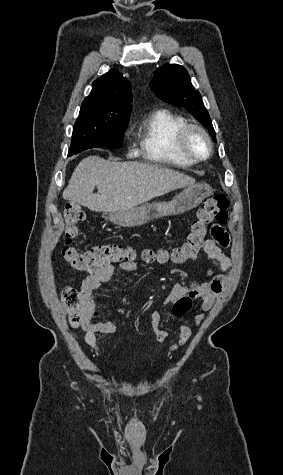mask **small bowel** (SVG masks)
Segmentation results:
<instances>
[{"mask_svg": "<svg viewBox=\"0 0 283 475\" xmlns=\"http://www.w3.org/2000/svg\"><path fill=\"white\" fill-rule=\"evenodd\" d=\"M205 228L210 236V239H208L204 245L205 253L222 271H227L231 265L230 258L223 253L220 246L223 248L233 247V240L229 239L232 235V230L222 219H215L213 223H207ZM135 270L136 265L133 262L105 264L91 272L81 286V326L85 332V342L96 353L101 351L97 343V335L114 334L117 327L109 318L103 320L96 319L97 302L95 293L117 273L133 272ZM205 271L207 277L205 281L190 284L176 283L171 287L169 293L163 300V304L165 305H174L175 302H177L179 293H194L195 304L200 306V310H195L194 312V322L197 326L203 323L205 319L204 313L211 310L226 282V275L224 273H216L212 267H206ZM110 310L120 315L128 313L127 308L121 305H113L110 307ZM173 313L176 316H180L175 313V309ZM147 317L151 323L157 342H164L168 337V332L162 326L159 312L151 310L147 313ZM191 335L192 330L190 326L182 322L179 327V343L173 347V350L187 343Z\"/></svg>", "mask_w": 283, "mask_h": 475, "instance_id": "1", "label": "small bowel"}]
</instances>
